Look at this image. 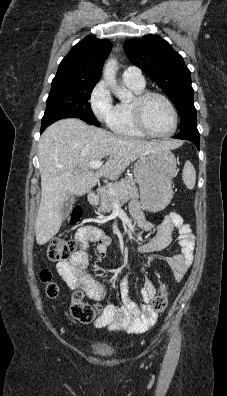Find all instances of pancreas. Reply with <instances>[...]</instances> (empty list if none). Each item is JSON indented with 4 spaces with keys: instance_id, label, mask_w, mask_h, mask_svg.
Instances as JSON below:
<instances>
[{
    "instance_id": "obj_1",
    "label": "pancreas",
    "mask_w": 227,
    "mask_h": 396,
    "mask_svg": "<svg viewBox=\"0 0 227 396\" xmlns=\"http://www.w3.org/2000/svg\"><path fill=\"white\" fill-rule=\"evenodd\" d=\"M113 189L116 192L111 193L110 190ZM100 206L98 207V212H111L115 201L124 203L129 199H134L139 197L138 188L132 177H126L120 182H116L107 188H103L99 191Z\"/></svg>"
}]
</instances>
